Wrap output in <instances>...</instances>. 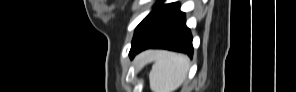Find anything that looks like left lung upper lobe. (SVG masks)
<instances>
[{
  "label": "left lung upper lobe",
  "instance_id": "1",
  "mask_svg": "<svg viewBox=\"0 0 296 92\" xmlns=\"http://www.w3.org/2000/svg\"><path fill=\"white\" fill-rule=\"evenodd\" d=\"M162 1L163 0H159V2L154 6V9L137 26L132 40V47L144 39L167 6V4H162Z\"/></svg>",
  "mask_w": 296,
  "mask_h": 92
}]
</instances>
